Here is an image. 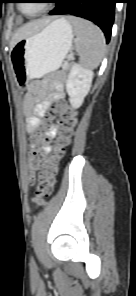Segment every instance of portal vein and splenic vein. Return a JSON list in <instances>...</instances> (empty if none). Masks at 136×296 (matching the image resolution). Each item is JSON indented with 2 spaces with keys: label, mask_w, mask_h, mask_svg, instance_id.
<instances>
[{
  "label": "portal vein and splenic vein",
  "mask_w": 136,
  "mask_h": 296,
  "mask_svg": "<svg viewBox=\"0 0 136 296\" xmlns=\"http://www.w3.org/2000/svg\"><path fill=\"white\" fill-rule=\"evenodd\" d=\"M68 67V62H66L64 65H63V69H66Z\"/></svg>",
  "instance_id": "portal-vein-and-splenic-vein-1"
}]
</instances>
